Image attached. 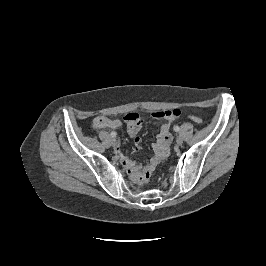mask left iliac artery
Here are the masks:
<instances>
[{
  "label": "left iliac artery",
  "mask_w": 266,
  "mask_h": 266,
  "mask_svg": "<svg viewBox=\"0 0 266 266\" xmlns=\"http://www.w3.org/2000/svg\"><path fill=\"white\" fill-rule=\"evenodd\" d=\"M180 130L179 126L174 127V131L178 132Z\"/></svg>",
  "instance_id": "left-iliac-artery-1"
}]
</instances>
